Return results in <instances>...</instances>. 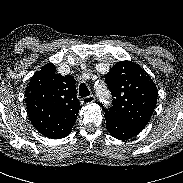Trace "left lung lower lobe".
Returning a JSON list of instances; mask_svg holds the SVG:
<instances>
[{"instance_id":"obj_1","label":"left lung lower lobe","mask_w":183,"mask_h":183,"mask_svg":"<svg viewBox=\"0 0 183 183\" xmlns=\"http://www.w3.org/2000/svg\"><path fill=\"white\" fill-rule=\"evenodd\" d=\"M109 133L119 140H126L138 135L144 128L141 125L128 124L109 117H105Z\"/></svg>"}]
</instances>
